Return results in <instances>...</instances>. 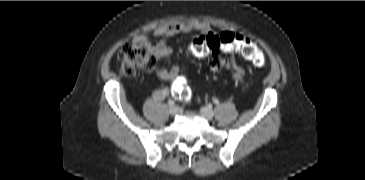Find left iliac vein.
Returning a JSON list of instances; mask_svg holds the SVG:
<instances>
[{"mask_svg": "<svg viewBox=\"0 0 365 180\" xmlns=\"http://www.w3.org/2000/svg\"><path fill=\"white\" fill-rule=\"evenodd\" d=\"M201 114L208 120L213 119L214 112L211 107L209 106H203L200 110Z\"/></svg>", "mask_w": 365, "mask_h": 180, "instance_id": "obj_1", "label": "left iliac vein"}]
</instances>
